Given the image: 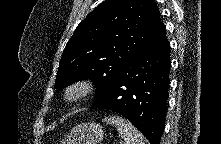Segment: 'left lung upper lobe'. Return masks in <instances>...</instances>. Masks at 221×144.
<instances>
[{
	"label": "left lung upper lobe",
	"mask_w": 221,
	"mask_h": 144,
	"mask_svg": "<svg viewBox=\"0 0 221 144\" xmlns=\"http://www.w3.org/2000/svg\"><path fill=\"white\" fill-rule=\"evenodd\" d=\"M161 24L154 0H105L81 21L68 41L55 88L90 79L96 86L97 102Z\"/></svg>",
	"instance_id": "obj_1"
}]
</instances>
